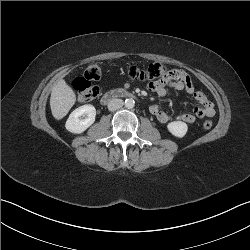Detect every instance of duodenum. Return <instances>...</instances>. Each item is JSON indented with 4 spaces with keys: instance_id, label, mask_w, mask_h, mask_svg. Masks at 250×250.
<instances>
[{
    "instance_id": "obj_1",
    "label": "duodenum",
    "mask_w": 250,
    "mask_h": 250,
    "mask_svg": "<svg viewBox=\"0 0 250 250\" xmlns=\"http://www.w3.org/2000/svg\"><path fill=\"white\" fill-rule=\"evenodd\" d=\"M133 95L125 90H111L106 92L102 98L101 102L102 104H108L109 102L118 99V98H124V97H132Z\"/></svg>"
}]
</instances>
